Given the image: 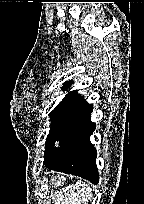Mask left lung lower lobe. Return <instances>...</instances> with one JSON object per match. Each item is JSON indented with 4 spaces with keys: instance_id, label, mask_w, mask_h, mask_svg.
I'll list each match as a JSON object with an SVG mask.
<instances>
[{
    "instance_id": "0a47b994",
    "label": "left lung lower lobe",
    "mask_w": 144,
    "mask_h": 204,
    "mask_svg": "<svg viewBox=\"0 0 144 204\" xmlns=\"http://www.w3.org/2000/svg\"><path fill=\"white\" fill-rule=\"evenodd\" d=\"M92 110L93 106L86 101L76 109L65 139L45 153L44 163L51 170L78 175L97 184V153L89 140L96 127L90 119Z\"/></svg>"
}]
</instances>
